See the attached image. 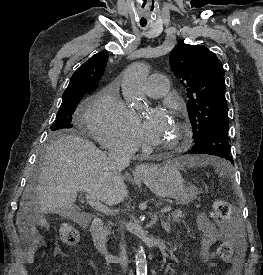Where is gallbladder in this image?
Returning a JSON list of instances; mask_svg holds the SVG:
<instances>
[{
  "label": "gallbladder",
  "instance_id": "obj_1",
  "mask_svg": "<svg viewBox=\"0 0 263 275\" xmlns=\"http://www.w3.org/2000/svg\"><path fill=\"white\" fill-rule=\"evenodd\" d=\"M58 214L64 215V216H71L74 217V215H72V209H58L57 210Z\"/></svg>",
  "mask_w": 263,
  "mask_h": 275
}]
</instances>
